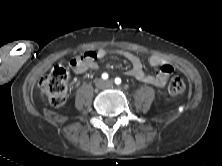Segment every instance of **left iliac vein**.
Wrapping results in <instances>:
<instances>
[{
    "instance_id": "obj_1",
    "label": "left iliac vein",
    "mask_w": 222,
    "mask_h": 166,
    "mask_svg": "<svg viewBox=\"0 0 222 166\" xmlns=\"http://www.w3.org/2000/svg\"><path fill=\"white\" fill-rule=\"evenodd\" d=\"M106 84H107L108 86H111V85L113 84V81H112V80H108V81H106Z\"/></svg>"
}]
</instances>
